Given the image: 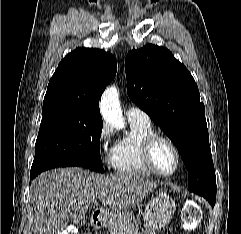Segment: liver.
<instances>
[{
  "mask_svg": "<svg viewBox=\"0 0 241 234\" xmlns=\"http://www.w3.org/2000/svg\"><path fill=\"white\" fill-rule=\"evenodd\" d=\"M157 184L130 174L100 175L82 168H60L40 174L30 186L35 211L34 234H62L78 210L102 201L105 215L118 213L142 201ZM104 199V200H103Z\"/></svg>",
  "mask_w": 241,
  "mask_h": 234,
  "instance_id": "obj_1",
  "label": "liver"
}]
</instances>
